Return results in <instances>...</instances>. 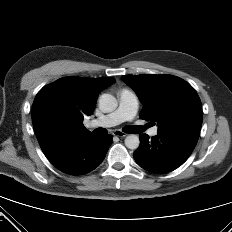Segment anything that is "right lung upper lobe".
I'll return each instance as SVG.
<instances>
[{"label":"right lung upper lobe","instance_id":"right-lung-upper-lobe-1","mask_svg":"<svg viewBox=\"0 0 232 232\" xmlns=\"http://www.w3.org/2000/svg\"><path fill=\"white\" fill-rule=\"evenodd\" d=\"M113 83L112 77H65L43 87L32 107L33 126L42 150L92 134L83 125L84 116L93 113L98 94Z\"/></svg>","mask_w":232,"mask_h":232}]
</instances>
